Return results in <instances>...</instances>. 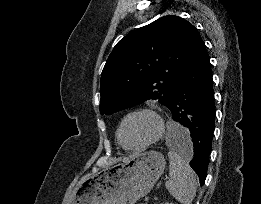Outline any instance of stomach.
I'll use <instances>...</instances> for the list:
<instances>
[{
  "label": "stomach",
  "instance_id": "1",
  "mask_svg": "<svg viewBox=\"0 0 261 204\" xmlns=\"http://www.w3.org/2000/svg\"><path fill=\"white\" fill-rule=\"evenodd\" d=\"M164 169L165 159L161 153L136 154L84 177L71 204H135L151 191Z\"/></svg>",
  "mask_w": 261,
  "mask_h": 204
}]
</instances>
